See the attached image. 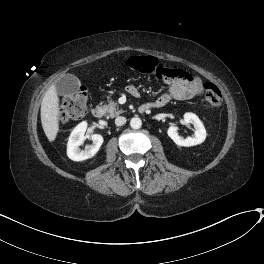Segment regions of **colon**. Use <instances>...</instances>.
I'll list each match as a JSON object with an SVG mask.
<instances>
[{
	"instance_id": "5ec220e1",
	"label": "colon",
	"mask_w": 264,
	"mask_h": 264,
	"mask_svg": "<svg viewBox=\"0 0 264 264\" xmlns=\"http://www.w3.org/2000/svg\"><path fill=\"white\" fill-rule=\"evenodd\" d=\"M128 66L145 74L154 75L157 78L165 79L172 75V70L162 66L152 57H131ZM203 91L206 102L213 107H220L223 97L219 88L212 82L206 81L203 84ZM88 98L87 88L82 86L70 98L65 100L61 106V117L63 120L80 119L86 111Z\"/></svg>"
}]
</instances>
